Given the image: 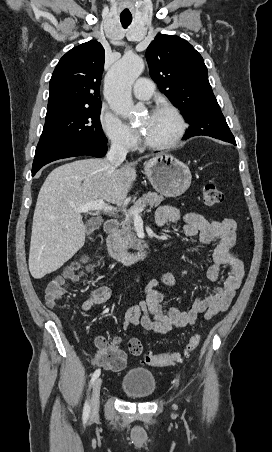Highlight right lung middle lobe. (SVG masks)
<instances>
[{"label":"right lung middle lobe","mask_w":272,"mask_h":452,"mask_svg":"<svg viewBox=\"0 0 272 452\" xmlns=\"http://www.w3.org/2000/svg\"><path fill=\"white\" fill-rule=\"evenodd\" d=\"M100 110L101 105H98L47 114L38 146L72 142L94 145L107 143L100 124Z\"/></svg>","instance_id":"1"}]
</instances>
